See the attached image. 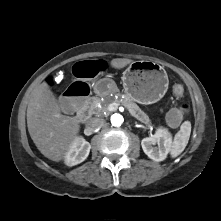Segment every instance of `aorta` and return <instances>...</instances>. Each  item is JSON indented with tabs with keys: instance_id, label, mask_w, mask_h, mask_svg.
I'll list each match as a JSON object with an SVG mask.
<instances>
[{
	"instance_id": "aorta-1",
	"label": "aorta",
	"mask_w": 221,
	"mask_h": 221,
	"mask_svg": "<svg viewBox=\"0 0 221 221\" xmlns=\"http://www.w3.org/2000/svg\"><path fill=\"white\" fill-rule=\"evenodd\" d=\"M123 122H124V118L121 114L115 113L111 116V124L113 126L119 127L123 124Z\"/></svg>"
}]
</instances>
